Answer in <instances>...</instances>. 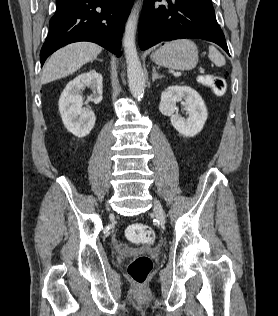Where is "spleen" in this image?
Instances as JSON below:
<instances>
[{
  "mask_svg": "<svg viewBox=\"0 0 278 316\" xmlns=\"http://www.w3.org/2000/svg\"><path fill=\"white\" fill-rule=\"evenodd\" d=\"M208 57L217 66L225 65V58H224V56L214 46H209Z\"/></svg>",
  "mask_w": 278,
  "mask_h": 316,
  "instance_id": "1",
  "label": "spleen"
}]
</instances>
